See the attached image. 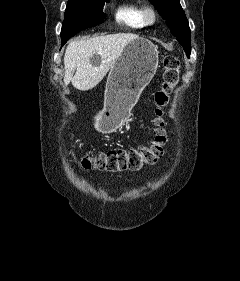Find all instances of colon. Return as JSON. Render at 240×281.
I'll return each instance as SVG.
<instances>
[{
	"mask_svg": "<svg viewBox=\"0 0 240 281\" xmlns=\"http://www.w3.org/2000/svg\"><path fill=\"white\" fill-rule=\"evenodd\" d=\"M162 87L155 93V118L153 119L154 139L147 145L137 149H113L97 155H86L81 159L85 169H97L108 172L136 171L145 165L154 164L164 153L166 143L164 109L169 103L176 87L181 62L177 55H167L163 62Z\"/></svg>",
	"mask_w": 240,
	"mask_h": 281,
	"instance_id": "colon-1",
	"label": "colon"
}]
</instances>
